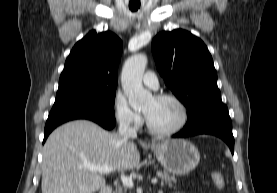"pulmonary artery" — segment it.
<instances>
[{
	"label": "pulmonary artery",
	"mask_w": 277,
	"mask_h": 193,
	"mask_svg": "<svg viewBox=\"0 0 277 193\" xmlns=\"http://www.w3.org/2000/svg\"><path fill=\"white\" fill-rule=\"evenodd\" d=\"M143 83L152 89H157L159 86L158 78L152 71L145 72L143 75Z\"/></svg>",
	"instance_id": "1"
}]
</instances>
